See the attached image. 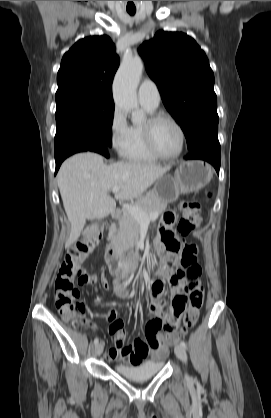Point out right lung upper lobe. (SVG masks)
<instances>
[{"label": "right lung upper lobe", "mask_w": 271, "mask_h": 418, "mask_svg": "<svg viewBox=\"0 0 271 418\" xmlns=\"http://www.w3.org/2000/svg\"><path fill=\"white\" fill-rule=\"evenodd\" d=\"M118 66L119 57L108 36L79 40L62 58L56 103L74 99L114 103L112 81Z\"/></svg>", "instance_id": "cb5924a9"}]
</instances>
